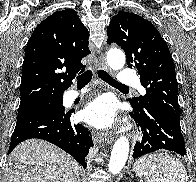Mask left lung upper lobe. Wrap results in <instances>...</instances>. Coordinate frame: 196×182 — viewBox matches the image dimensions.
<instances>
[{
  "label": "left lung upper lobe",
  "mask_w": 196,
  "mask_h": 182,
  "mask_svg": "<svg viewBox=\"0 0 196 182\" xmlns=\"http://www.w3.org/2000/svg\"><path fill=\"white\" fill-rule=\"evenodd\" d=\"M107 35L108 44L116 43L124 50L128 67L137 68L147 92L128 100L138 108L156 106L180 121L174 62L153 24L139 15L121 11L111 19Z\"/></svg>",
  "instance_id": "left-lung-upper-lobe-1"
}]
</instances>
